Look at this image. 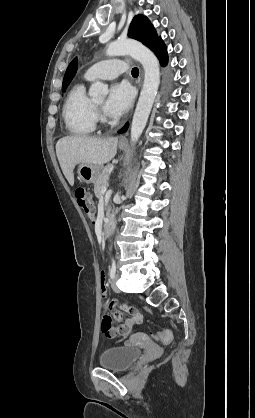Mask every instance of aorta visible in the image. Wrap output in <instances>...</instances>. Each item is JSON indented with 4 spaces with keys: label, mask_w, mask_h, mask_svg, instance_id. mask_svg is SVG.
Instances as JSON below:
<instances>
[{
    "label": "aorta",
    "mask_w": 255,
    "mask_h": 418,
    "mask_svg": "<svg viewBox=\"0 0 255 418\" xmlns=\"http://www.w3.org/2000/svg\"><path fill=\"white\" fill-rule=\"evenodd\" d=\"M106 54L108 56L128 54L139 61L144 68L143 88L131 124V142L136 143L146 126L159 87L158 59L147 47L134 40H119L110 43ZM107 93V85L98 81L93 83L89 90V95L95 100H103Z\"/></svg>",
    "instance_id": "aorta-1"
}]
</instances>
